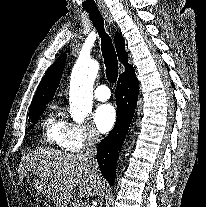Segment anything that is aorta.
<instances>
[{
	"instance_id": "aorta-1",
	"label": "aorta",
	"mask_w": 206,
	"mask_h": 207,
	"mask_svg": "<svg viewBox=\"0 0 206 207\" xmlns=\"http://www.w3.org/2000/svg\"><path fill=\"white\" fill-rule=\"evenodd\" d=\"M99 71V64L90 58L80 56L72 70L69 104L73 121L82 123L93 105V83Z\"/></svg>"
}]
</instances>
